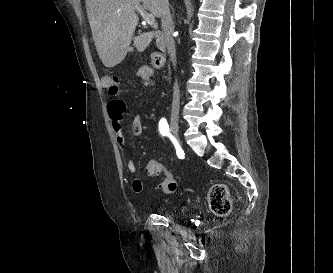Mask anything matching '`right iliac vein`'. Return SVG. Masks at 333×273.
<instances>
[{"mask_svg": "<svg viewBox=\"0 0 333 273\" xmlns=\"http://www.w3.org/2000/svg\"><path fill=\"white\" fill-rule=\"evenodd\" d=\"M170 125H171V130H172L173 135L175 136V138L177 139L179 144L182 145V142H181L180 137H179L180 126H179L178 114L172 113Z\"/></svg>", "mask_w": 333, "mask_h": 273, "instance_id": "right-iliac-vein-1", "label": "right iliac vein"}]
</instances>
